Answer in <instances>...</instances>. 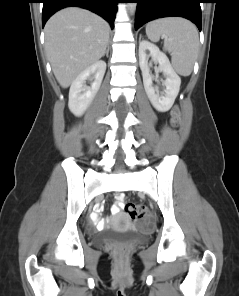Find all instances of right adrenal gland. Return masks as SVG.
<instances>
[{"label":"right adrenal gland","instance_id":"right-adrenal-gland-1","mask_svg":"<svg viewBox=\"0 0 239 296\" xmlns=\"http://www.w3.org/2000/svg\"><path fill=\"white\" fill-rule=\"evenodd\" d=\"M108 54H109V43L107 44V49H106L104 55H106V57H108Z\"/></svg>","mask_w":239,"mask_h":296}]
</instances>
